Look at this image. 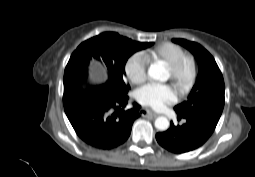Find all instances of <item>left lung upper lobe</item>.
I'll list each match as a JSON object with an SVG mask.
<instances>
[{"label": "left lung upper lobe", "mask_w": 255, "mask_h": 177, "mask_svg": "<svg viewBox=\"0 0 255 177\" xmlns=\"http://www.w3.org/2000/svg\"><path fill=\"white\" fill-rule=\"evenodd\" d=\"M187 48L198 62V76L188 100L174 107L178 115L218 123L225 103L222 73L212 55L201 45L185 39H172Z\"/></svg>", "instance_id": "obj_1"}]
</instances>
